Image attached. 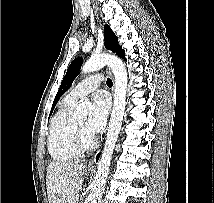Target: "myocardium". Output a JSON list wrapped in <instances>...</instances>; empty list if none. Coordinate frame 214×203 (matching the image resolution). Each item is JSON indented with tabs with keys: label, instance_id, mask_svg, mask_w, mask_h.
<instances>
[{
	"label": "myocardium",
	"instance_id": "1",
	"mask_svg": "<svg viewBox=\"0 0 214 203\" xmlns=\"http://www.w3.org/2000/svg\"><path fill=\"white\" fill-rule=\"evenodd\" d=\"M74 145L79 152L90 151L95 148L97 144L96 138L86 129L74 125Z\"/></svg>",
	"mask_w": 214,
	"mask_h": 203
}]
</instances>
